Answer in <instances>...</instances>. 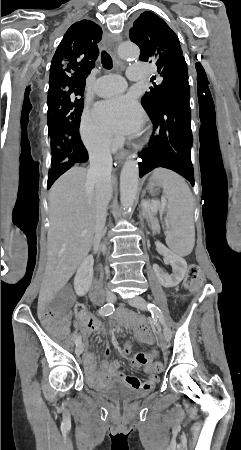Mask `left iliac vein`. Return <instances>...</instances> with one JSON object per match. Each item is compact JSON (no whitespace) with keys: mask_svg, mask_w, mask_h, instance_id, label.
Wrapping results in <instances>:
<instances>
[{"mask_svg":"<svg viewBox=\"0 0 241 450\" xmlns=\"http://www.w3.org/2000/svg\"><path fill=\"white\" fill-rule=\"evenodd\" d=\"M128 304L136 307L141 310H146V303L143 297L136 296L132 299H129ZM171 339V330L167 325L163 326V336L161 337V342L163 345H166Z\"/></svg>","mask_w":241,"mask_h":450,"instance_id":"1","label":"left iliac vein"}]
</instances>
